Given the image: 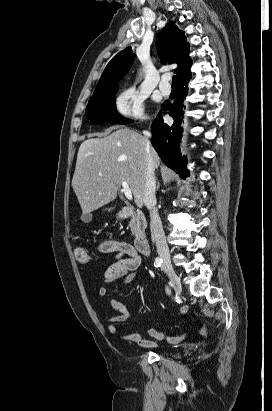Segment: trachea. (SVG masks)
Instances as JSON below:
<instances>
[{
	"mask_svg": "<svg viewBox=\"0 0 272 411\" xmlns=\"http://www.w3.org/2000/svg\"><path fill=\"white\" fill-rule=\"evenodd\" d=\"M172 86H177V78L175 75L172 78Z\"/></svg>",
	"mask_w": 272,
	"mask_h": 411,
	"instance_id": "obj_1",
	"label": "trachea"
}]
</instances>
